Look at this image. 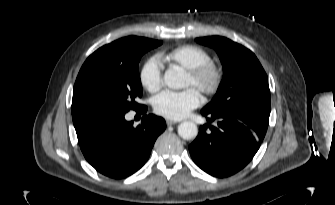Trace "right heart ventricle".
Here are the masks:
<instances>
[{"instance_id": "right-heart-ventricle-1", "label": "right heart ventricle", "mask_w": 335, "mask_h": 205, "mask_svg": "<svg viewBox=\"0 0 335 205\" xmlns=\"http://www.w3.org/2000/svg\"><path fill=\"white\" fill-rule=\"evenodd\" d=\"M162 57L166 62L178 65L186 70H191L211 60V56L206 49L193 44L176 47L163 54Z\"/></svg>"}]
</instances>
